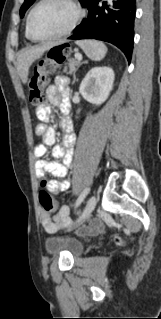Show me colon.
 I'll return each instance as SVG.
<instances>
[{"label": "colon", "instance_id": "1", "mask_svg": "<svg viewBox=\"0 0 161 319\" xmlns=\"http://www.w3.org/2000/svg\"><path fill=\"white\" fill-rule=\"evenodd\" d=\"M71 52V47L68 44H59L51 48L46 55L40 59L28 82L29 98L32 104L38 105L42 102L43 90L49 82L50 73L61 66L70 56ZM43 185H51V182L44 180ZM39 203L41 207L48 212L53 211L57 207V201L52 198L46 189L40 191ZM117 241L120 242L119 239Z\"/></svg>", "mask_w": 161, "mask_h": 319}]
</instances>
